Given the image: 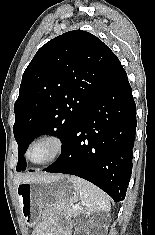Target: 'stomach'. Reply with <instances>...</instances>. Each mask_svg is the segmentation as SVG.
Instances as JSON below:
<instances>
[{"label": "stomach", "mask_w": 155, "mask_h": 235, "mask_svg": "<svg viewBox=\"0 0 155 235\" xmlns=\"http://www.w3.org/2000/svg\"><path fill=\"white\" fill-rule=\"evenodd\" d=\"M16 191L21 214L28 226H34L39 221L43 208L73 204L80 197L72 177L63 175L20 183Z\"/></svg>", "instance_id": "stomach-1"}]
</instances>
